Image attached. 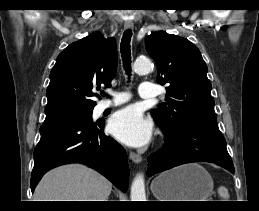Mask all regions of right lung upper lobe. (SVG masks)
I'll return each mask as SVG.
<instances>
[{"label": "right lung upper lobe", "instance_id": "1", "mask_svg": "<svg viewBox=\"0 0 259 211\" xmlns=\"http://www.w3.org/2000/svg\"><path fill=\"white\" fill-rule=\"evenodd\" d=\"M117 70L115 40L92 33L70 44L57 57L46 91L45 123L91 112L93 89L111 86Z\"/></svg>", "mask_w": 259, "mask_h": 211}]
</instances>
